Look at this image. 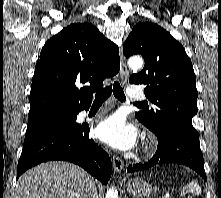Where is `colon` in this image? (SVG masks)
<instances>
[{"instance_id":"colon-1","label":"colon","mask_w":221,"mask_h":198,"mask_svg":"<svg viewBox=\"0 0 221 198\" xmlns=\"http://www.w3.org/2000/svg\"><path fill=\"white\" fill-rule=\"evenodd\" d=\"M186 198H192V197L188 196V197H186Z\"/></svg>"}]
</instances>
